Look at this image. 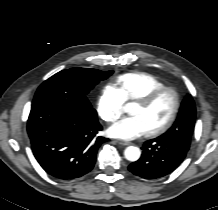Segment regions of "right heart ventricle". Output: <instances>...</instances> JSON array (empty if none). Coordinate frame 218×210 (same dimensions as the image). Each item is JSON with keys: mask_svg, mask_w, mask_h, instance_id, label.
I'll list each match as a JSON object with an SVG mask.
<instances>
[{"mask_svg": "<svg viewBox=\"0 0 218 210\" xmlns=\"http://www.w3.org/2000/svg\"><path fill=\"white\" fill-rule=\"evenodd\" d=\"M163 86L164 83L159 78L144 72L122 74L111 85L126 103L137 101L146 94Z\"/></svg>", "mask_w": 218, "mask_h": 210, "instance_id": "right-heart-ventricle-1", "label": "right heart ventricle"}]
</instances>
